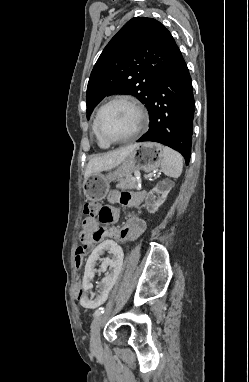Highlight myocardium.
<instances>
[{"label":"myocardium","mask_w":249,"mask_h":382,"mask_svg":"<svg viewBox=\"0 0 249 382\" xmlns=\"http://www.w3.org/2000/svg\"><path fill=\"white\" fill-rule=\"evenodd\" d=\"M118 102L130 105L136 111L138 116V121H137L135 130L130 135H127L122 138H109L105 136L101 130L100 119H101L102 112L104 111L105 108H107L111 104L118 103ZM147 123H148V117L143 107L136 100L127 96H116L109 99L98 109L96 117H95V125H96L97 133L99 137L108 144L122 143V142H127V141L135 139L146 128Z\"/></svg>","instance_id":"obj_1"}]
</instances>
